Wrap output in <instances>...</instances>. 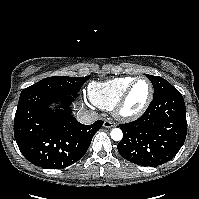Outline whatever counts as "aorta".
I'll use <instances>...</instances> for the list:
<instances>
[{
    "label": "aorta",
    "mask_w": 199,
    "mask_h": 199,
    "mask_svg": "<svg viewBox=\"0 0 199 199\" xmlns=\"http://www.w3.org/2000/svg\"><path fill=\"white\" fill-rule=\"evenodd\" d=\"M110 136L114 141H120L123 137V132L121 129L119 128H114L112 129V131L110 132Z\"/></svg>",
    "instance_id": "1"
}]
</instances>
